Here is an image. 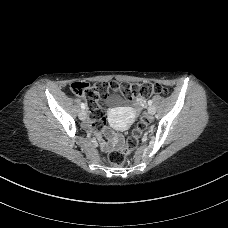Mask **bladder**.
<instances>
[{
  "label": "bladder",
  "instance_id": "bladder-1",
  "mask_svg": "<svg viewBox=\"0 0 228 228\" xmlns=\"http://www.w3.org/2000/svg\"><path fill=\"white\" fill-rule=\"evenodd\" d=\"M120 101H122V98L119 95H117L116 93L111 94L107 98V103H109V104H116Z\"/></svg>",
  "mask_w": 228,
  "mask_h": 228
}]
</instances>
